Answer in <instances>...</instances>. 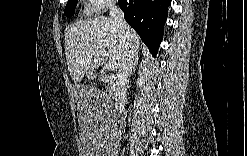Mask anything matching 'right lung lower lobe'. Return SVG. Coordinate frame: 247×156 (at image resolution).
<instances>
[{
	"label": "right lung lower lobe",
	"mask_w": 247,
	"mask_h": 156,
	"mask_svg": "<svg viewBox=\"0 0 247 156\" xmlns=\"http://www.w3.org/2000/svg\"><path fill=\"white\" fill-rule=\"evenodd\" d=\"M171 0H118L127 23L156 56Z\"/></svg>",
	"instance_id": "1"
}]
</instances>
